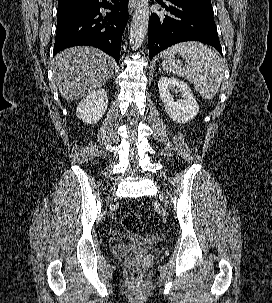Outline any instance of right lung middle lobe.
Wrapping results in <instances>:
<instances>
[{
    "label": "right lung middle lobe",
    "instance_id": "obj_1",
    "mask_svg": "<svg viewBox=\"0 0 272 303\" xmlns=\"http://www.w3.org/2000/svg\"><path fill=\"white\" fill-rule=\"evenodd\" d=\"M83 4H86V3H82V4H78V5H74V6H58L57 13L64 12V11H66V10L72 9V8H74V7L81 6V5H83Z\"/></svg>",
    "mask_w": 272,
    "mask_h": 303
}]
</instances>
